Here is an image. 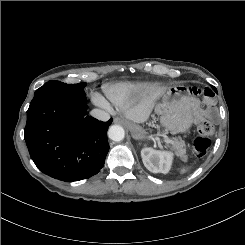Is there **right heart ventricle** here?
Listing matches in <instances>:
<instances>
[{
  "instance_id": "right-heart-ventricle-1",
  "label": "right heart ventricle",
  "mask_w": 245,
  "mask_h": 245,
  "mask_svg": "<svg viewBox=\"0 0 245 245\" xmlns=\"http://www.w3.org/2000/svg\"><path fill=\"white\" fill-rule=\"evenodd\" d=\"M141 83H120L105 88V94L112 105L121 108L137 100L145 91Z\"/></svg>"
}]
</instances>
